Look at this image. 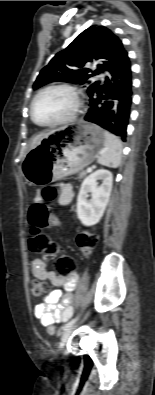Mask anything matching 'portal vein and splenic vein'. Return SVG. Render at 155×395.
Wrapping results in <instances>:
<instances>
[{
	"label": "portal vein and splenic vein",
	"mask_w": 155,
	"mask_h": 395,
	"mask_svg": "<svg viewBox=\"0 0 155 395\" xmlns=\"http://www.w3.org/2000/svg\"><path fill=\"white\" fill-rule=\"evenodd\" d=\"M87 172H91L92 171V169L91 168H87V170H86Z\"/></svg>",
	"instance_id": "1"
}]
</instances>
